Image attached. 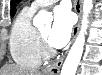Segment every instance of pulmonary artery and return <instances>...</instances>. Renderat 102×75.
Wrapping results in <instances>:
<instances>
[{
  "instance_id": "pulmonary-artery-1",
  "label": "pulmonary artery",
  "mask_w": 102,
  "mask_h": 75,
  "mask_svg": "<svg viewBox=\"0 0 102 75\" xmlns=\"http://www.w3.org/2000/svg\"><path fill=\"white\" fill-rule=\"evenodd\" d=\"M54 2H55L54 0H36L31 3L29 8L32 9L33 11H36L42 7H45V6H48L49 4L54 3Z\"/></svg>"
}]
</instances>
